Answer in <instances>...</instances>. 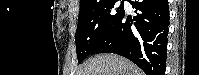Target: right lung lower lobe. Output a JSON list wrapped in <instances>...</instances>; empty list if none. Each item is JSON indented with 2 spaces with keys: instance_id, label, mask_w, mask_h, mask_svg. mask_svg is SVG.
<instances>
[{
  "instance_id": "right-lung-lower-lobe-1",
  "label": "right lung lower lobe",
  "mask_w": 199,
  "mask_h": 75,
  "mask_svg": "<svg viewBox=\"0 0 199 75\" xmlns=\"http://www.w3.org/2000/svg\"><path fill=\"white\" fill-rule=\"evenodd\" d=\"M128 1L137 15L132 20L126 18L124 12L116 28L94 54L116 53L134 62L146 75H165L168 1Z\"/></svg>"
}]
</instances>
